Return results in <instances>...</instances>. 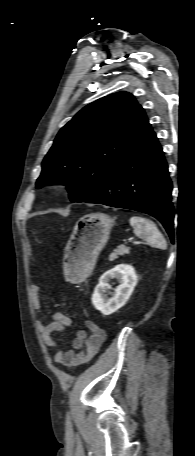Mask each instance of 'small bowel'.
Returning <instances> with one entry per match:
<instances>
[{"instance_id":"c3829d8e","label":"small bowel","mask_w":195,"mask_h":456,"mask_svg":"<svg viewBox=\"0 0 195 456\" xmlns=\"http://www.w3.org/2000/svg\"><path fill=\"white\" fill-rule=\"evenodd\" d=\"M41 288L38 285L30 287V298L36 310L41 309ZM71 326V319L61 311H56L47 322H40L39 329L46 346L51 350L59 347V343L53 339V332H63ZM87 330H79L68 350L59 349L54 361L68 368L77 367L90 361L100 349L105 335L103 330L94 321H87Z\"/></svg>"}]
</instances>
